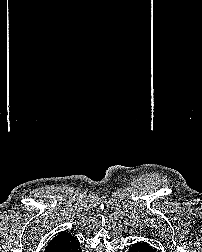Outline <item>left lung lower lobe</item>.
I'll return each mask as SVG.
<instances>
[{"label": "left lung lower lobe", "instance_id": "1", "mask_svg": "<svg viewBox=\"0 0 202 252\" xmlns=\"http://www.w3.org/2000/svg\"><path fill=\"white\" fill-rule=\"evenodd\" d=\"M129 252H155V250L148 243L140 242L133 244L130 247Z\"/></svg>", "mask_w": 202, "mask_h": 252}]
</instances>
